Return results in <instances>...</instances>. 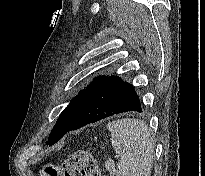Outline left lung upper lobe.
<instances>
[{
	"mask_svg": "<svg viewBox=\"0 0 205 176\" xmlns=\"http://www.w3.org/2000/svg\"><path fill=\"white\" fill-rule=\"evenodd\" d=\"M108 78L106 76L96 77L87 88L80 90L78 95L70 101L69 105L60 114L46 144L53 145L64 136L82 100L89 94L97 91Z\"/></svg>",
	"mask_w": 205,
	"mask_h": 176,
	"instance_id": "left-lung-upper-lobe-1",
	"label": "left lung upper lobe"
}]
</instances>
